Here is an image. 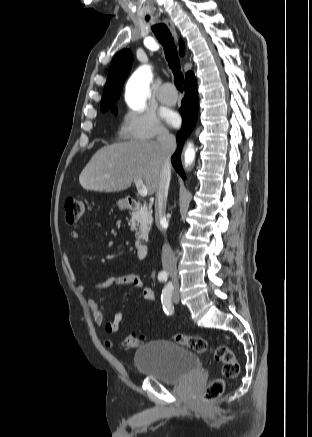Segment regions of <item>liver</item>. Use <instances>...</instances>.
<instances>
[{"mask_svg":"<svg viewBox=\"0 0 312 437\" xmlns=\"http://www.w3.org/2000/svg\"><path fill=\"white\" fill-rule=\"evenodd\" d=\"M160 167L158 142L130 140L98 150L81 172L79 182L85 190L119 192L140 178L152 195L157 191Z\"/></svg>","mask_w":312,"mask_h":437,"instance_id":"1","label":"liver"}]
</instances>
